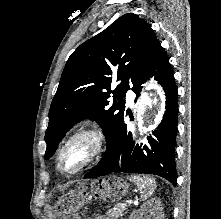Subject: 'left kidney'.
<instances>
[{"instance_id": "1", "label": "left kidney", "mask_w": 221, "mask_h": 219, "mask_svg": "<svg viewBox=\"0 0 221 219\" xmlns=\"http://www.w3.org/2000/svg\"><path fill=\"white\" fill-rule=\"evenodd\" d=\"M149 215L153 216V219H163L162 208L159 199H151L140 209L133 212L129 219H148Z\"/></svg>"}]
</instances>
